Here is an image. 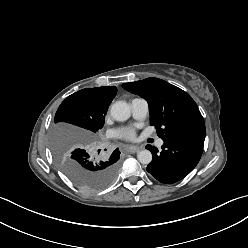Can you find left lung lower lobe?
<instances>
[{"instance_id":"obj_1","label":"left lung lower lobe","mask_w":248,"mask_h":248,"mask_svg":"<svg viewBox=\"0 0 248 248\" xmlns=\"http://www.w3.org/2000/svg\"><path fill=\"white\" fill-rule=\"evenodd\" d=\"M205 127L183 131L164 141L162 151L147 145L153 159L147 171L158 181L172 184L185 178L199 162L204 146Z\"/></svg>"}]
</instances>
